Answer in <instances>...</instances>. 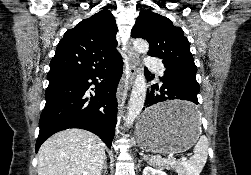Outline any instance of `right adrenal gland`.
Masks as SVG:
<instances>
[{
    "mask_svg": "<svg viewBox=\"0 0 251 175\" xmlns=\"http://www.w3.org/2000/svg\"><path fill=\"white\" fill-rule=\"evenodd\" d=\"M107 169H108V167H107V163H106V161H105L101 173H107Z\"/></svg>",
    "mask_w": 251,
    "mask_h": 175,
    "instance_id": "2a0ac1e0",
    "label": "right adrenal gland"
}]
</instances>
